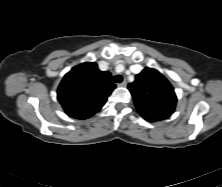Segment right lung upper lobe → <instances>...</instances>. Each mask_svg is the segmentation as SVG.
Masks as SVG:
<instances>
[{"label":"right lung upper lobe","instance_id":"cb5924a9","mask_svg":"<svg viewBox=\"0 0 222 187\" xmlns=\"http://www.w3.org/2000/svg\"><path fill=\"white\" fill-rule=\"evenodd\" d=\"M115 87L110 72H102L96 63L87 62L64 76L57 97L68 116L87 119L102 108Z\"/></svg>","mask_w":222,"mask_h":187}]
</instances>
